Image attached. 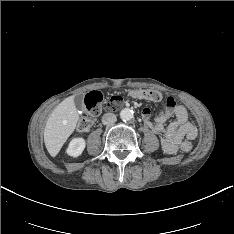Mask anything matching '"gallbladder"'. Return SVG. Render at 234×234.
Returning a JSON list of instances; mask_svg holds the SVG:
<instances>
[{"label": "gallbladder", "instance_id": "bac80fb5", "mask_svg": "<svg viewBox=\"0 0 234 234\" xmlns=\"http://www.w3.org/2000/svg\"><path fill=\"white\" fill-rule=\"evenodd\" d=\"M74 103L78 109L83 108V96L82 95H76L74 97Z\"/></svg>", "mask_w": 234, "mask_h": 234}]
</instances>
